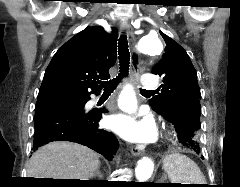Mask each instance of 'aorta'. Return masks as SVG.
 <instances>
[{
  "label": "aorta",
  "mask_w": 240,
  "mask_h": 187,
  "mask_svg": "<svg viewBox=\"0 0 240 187\" xmlns=\"http://www.w3.org/2000/svg\"><path fill=\"white\" fill-rule=\"evenodd\" d=\"M138 50L145 55H160L163 51V45L158 35H144L139 39ZM119 106L122 110L133 113L137 108V100L134 89L131 85H126L119 97ZM154 170V163L148 158H142L138 161L135 169L136 178L139 182L148 180Z\"/></svg>",
  "instance_id": "aorta-1"
}]
</instances>
